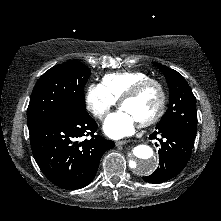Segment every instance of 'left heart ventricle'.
<instances>
[{
	"label": "left heart ventricle",
	"mask_w": 221,
	"mask_h": 221,
	"mask_svg": "<svg viewBox=\"0 0 221 221\" xmlns=\"http://www.w3.org/2000/svg\"><path fill=\"white\" fill-rule=\"evenodd\" d=\"M160 104V92L156 85H149L138 96L126 101L122 108L142 122L153 116Z\"/></svg>",
	"instance_id": "left-heart-ventricle-1"
}]
</instances>
